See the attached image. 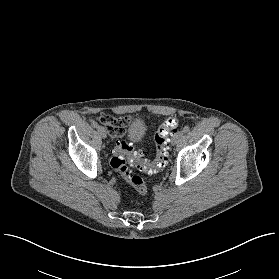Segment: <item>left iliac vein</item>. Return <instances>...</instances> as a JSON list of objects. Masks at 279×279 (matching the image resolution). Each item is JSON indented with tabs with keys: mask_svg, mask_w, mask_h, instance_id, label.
<instances>
[{
	"mask_svg": "<svg viewBox=\"0 0 279 279\" xmlns=\"http://www.w3.org/2000/svg\"><path fill=\"white\" fill-rule=\"evenodd\" d=\"M183 135V131L176 132L171 138V144L176 145L182 139Z\"/></svg>",
	"mask_w": 279,
	"mask_h": 279,
	"instance_id": "1",
	"label": "left iliac vein"
}]
</instances>
